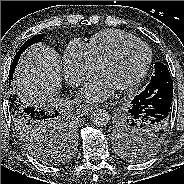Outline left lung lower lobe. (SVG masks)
<instances>
[{
	"mask_svg": "<svg viewBox=\"0 0 184 184\" xmlns=\"http://www.w3.org/2000/svg\"><path fill=\"white\" fill-rule=\"evenodd\" d=\"M173 81L162 76L150 81L145 90L134 97L129 112L133 118L154 128L155 134L167 130L171 118Z\"/></svg>",
	"mask_w": 184,
	"mask_h": 184,
	"instance_id": "obj_1",
	"label": "left lung lower lobe"
}]
</instances>
